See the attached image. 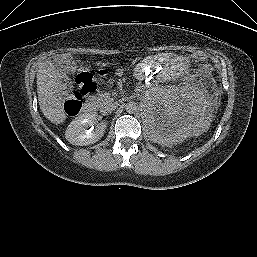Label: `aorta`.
<instances>
[{"instance_id":"1","label":"aorta","mask_w":257,"mask_h":257,"mask_svg":"<svg viewBox=\"0 0 257 257\" xmlns=\"http://www.w3.org/2000/svg\"><path fill=\"white\" fill-rule=\"evenodd\" d=\"M125 109L128 113L132 114L134 112L137 111L138 107H137V104L135 102H128L126 105H125Z\"/></svg>"}]
</instances>
